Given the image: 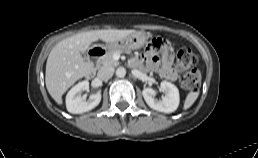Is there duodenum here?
Here are the masks:
<instances>
[{
    "mask_svg": "<svg viewBox=\"0 0 258 158\" xmlns=\"http://www.w3.org/2000/svg\"><path fill=\"white\" fill-rule=\"evenodd\" d=\"M105 51L106 49L104 46L98 45L89 52L88 60L91 65L92 71L94 70L98 62L101 60V58L104 56Z\"/></svg>",
    "mask_w": 258,
    "mask_h": 158,
    "instance_id": "1",
    "label": "duodenum"
}]
</instances>
